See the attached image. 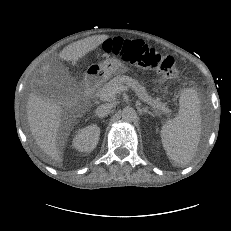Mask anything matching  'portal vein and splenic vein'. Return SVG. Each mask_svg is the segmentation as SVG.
Returning a JSON list of instances; mask_svg holds the SVG:
<instances>
[{"instance_id": "portal-vein-and-splenic-vein-1", "label": "portal vein and splenic vein", "mask_w": 231, "mask_h": 231, "mask_svg": "<svg viewBox=\"0 0 231 231\" xmlns=\"http://www.w3.org/2000/svg\"><path fill=\"white\" fill-rule=\"evenodd\" d=\"M128 87L124 85H115L111 88H109L101 97L104 101L111 100L117 93L122 91H127Z\"/></svg>"}]
</instances>
